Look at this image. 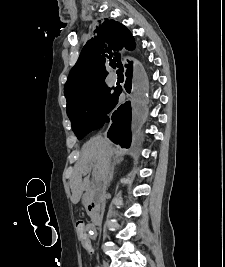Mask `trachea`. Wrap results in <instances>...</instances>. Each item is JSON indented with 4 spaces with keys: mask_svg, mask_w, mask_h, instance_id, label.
Listing matches in <instances>:
<instances>
[{
    "mask_svg": "<svg viewBox=\"0 0 225 267\" xmlns=\"http://www.w3.org/2000/svg\"><path fill=\"white\" fill-rule=\"evenodd\" d=\"M111 66H112L113 68L116 67L115 63H113ZM117 73H121V71L118 70Z\"/></svg>",
    "mask_w": 225,
    "mask_h": 267,
    "instance_id": "obj_1",
    "label": "trachea"
}]
</instances>
